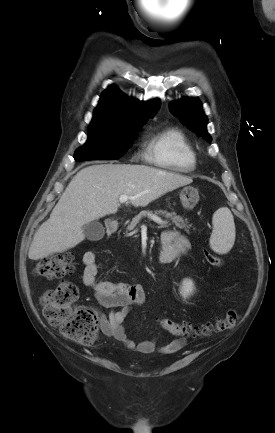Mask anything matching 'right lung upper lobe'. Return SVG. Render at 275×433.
<instances>
[{
	"mask_svg": "<svg viewBox=\"0 0 275 433\" xmlns=\"http://www.w3.org/2000/svg\"><path fill=\"white\" fill-rule=\"evenodd\" d=\"M160 104L159 99L142 102L129 98L112 85L102 93L92 122L105 124L147 122L154 116Z\"/></svg>",
	"mask_w": 275,
	"mask_h": 433,
	"instance_id": "obj_1",
	"label": "right lung upper lobe"
}]
</instances>
